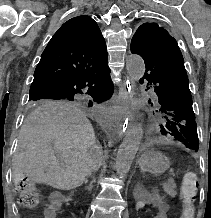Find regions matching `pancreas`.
<instances>
[{"label": "pancreas", "mask_w": 211, "mask_h": 218, "mask_svg": "<svg viewBox=\"0 0 211 218\" xmlns=\"http://www.w3.org/2000/svg\"><path fill=\"white\" fill-rule=\"evenodd\" d=\"M162 186H163L164 192H166V194H169V196H172V198H175V196H176V192H175L176 184H174V180H168V182H165V184H162Z\"/></svg>", "instance_id": "1"}]
</instances>
